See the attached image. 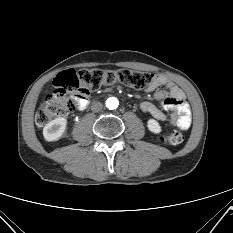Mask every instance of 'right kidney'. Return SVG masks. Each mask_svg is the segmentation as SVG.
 <instances>
[{
	"label": "right kidney",
	"instance_id": "1",
	"mask_svg": "<svg viewBox=\"0 0 233 233\" xmlns=\"http://www.w3.org/2000/svg\"><path fill=\"white\" fill-rule=\"evenodd\" d=\"M67 120L63 117L56 118L45 125L43 136L46 141H57L65 132Z\"/></svg>",
	"mask_w": 233,
	"mask_h": 233
}]
</instances>
